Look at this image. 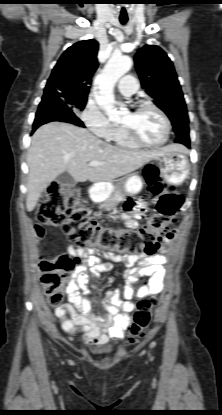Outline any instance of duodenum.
<instances>
[{
    "mask_svg": "<svg viewBox=\"0 0 222 415\" xmlns=\"http://www.w3.org/2000/svg\"><path fill=\"white\" fill-rule=\"evenodd\" d=\"M96 192H97V188L96 187H91L88 191V194L90 196H94L96 194Z\"/></svg>",
    "mask_w": 222,
    "mask_h": 415,
    "instance_id": "duodenum-1",
    "label": "duodenum"
}]
</instances>
